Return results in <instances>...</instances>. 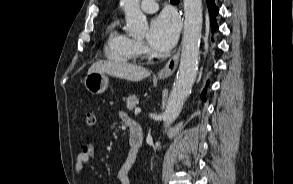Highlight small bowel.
I'll return each mask as SVG.
<instances>
[{
  "mask_svg": "<svg viewBox=\"0 0 293 184\" xmlns=\"http://www.w3.org/2000/svg\"><path fill=\"white\" fill-rule=\"evenodd\" d=\"M123 119L127 122L130 118L125 114L121 113ZM94 159V145L92 143H86L83 145L75 161V172L80 175L84 167L91 163ZM137 159V154L129 150L124 162L117 173V179L120 184H131L130 172Z\"/></svg>",
  "mask_w": 293,
  "mask_h": 184,
  "instance_id": "obj_1",
  "label": "small bowel"
}]
</instances>
